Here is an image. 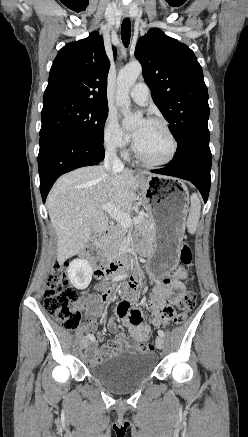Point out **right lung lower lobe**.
<instances>
[{
	"label": "right lung lower lobe",
	"instance_id": "98d812e1",
	"mask_svg": "<svg viewBox=\"0 0 248 437\" xmlns=\"http://www.w3.org/2000/svg\"><path fill=\"white\" fill-rule=\"evenodd\" d=\"M103 159V144L66 131H51L40 135L38 168L43 202L62 174L83 166L95 165Z\"/></svg>",
	"mask_w": 248,
	"mask_h": 437
}]
</instances>
